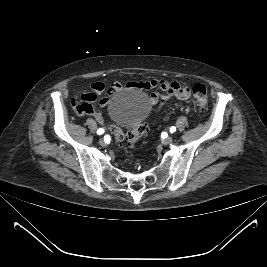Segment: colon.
I'll list each match as a JSON object with an SVG mask.
<instances>
[{
  "label": "colon",
  "mask_w": 267,
  "mask_h": 267,
  "mask_svg": "<svg viewBox=\"0 0 267 267\" xmlns=\"http://www.w3.org/2000/svg\"><path fill=\"white\" fill-rule=\"evenodd\" d=\"M194 102L197 110L203 112L208 106L207 90L203 84H195L192 88ZM110 131L118 143L126 142L129 147H134L139 139L145 134L146 126L138 123L131 126L126 133L117 125H110Z\"/></svg>",
  "instance_id": "1"
}]
</instances>
